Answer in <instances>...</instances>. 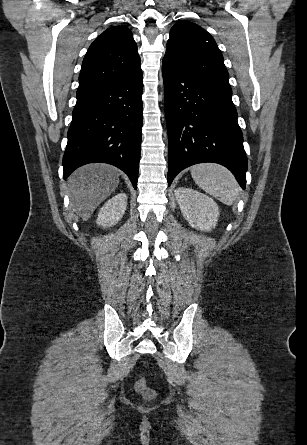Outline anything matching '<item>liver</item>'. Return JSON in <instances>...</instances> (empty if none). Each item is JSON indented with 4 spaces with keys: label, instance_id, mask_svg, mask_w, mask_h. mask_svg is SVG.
I'll return each mask as SVG.
<instances>
[{
    "label": "liver",
    "instance_id": "liver-1",
    "mask_svg": "<svg viewBox=\"0 0 307 445\" xmlns=\"http://www.w3.org/2000/svg\"><path fill=\"white\" fill-rule=\"evenodd\" d=\"M118 168L111 164H85L67 180L70 206L82 220H88L95 208L110 196L119 182Z\"/></svg>",
    "mask_w": 307,
    "mask_h": 445
}]
</instances>
